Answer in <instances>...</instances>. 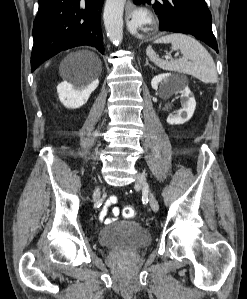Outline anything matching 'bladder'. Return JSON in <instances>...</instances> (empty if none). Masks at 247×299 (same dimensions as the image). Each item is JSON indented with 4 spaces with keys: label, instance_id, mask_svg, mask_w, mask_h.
Listing matches in <instances>:
<instances>
[{
    "label": "bladder",
    "instance_id": "1",
    "mask_svg": "<svg viewBox=\"0 0 247 299\" xmlns=\"http://www.w3.org/2000/svg\"><path fill=\"white\" fill-rule=\"evenodd\" d=\"M98 241L109 249H139L150 244L151 234L137 222L119 220L102 228Z\"/></svg>",
    "mask_w": 247,
    "mask_h": 299
}]
</instances>
